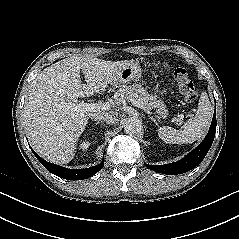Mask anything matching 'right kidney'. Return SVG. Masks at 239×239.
<instances>
[{
  "label": "right kidney",
  "instance_id": "right-kidney-1",
  "mask_svg": "<svg viewBox=\"0 0 239 239\" xmlns=\"http://www.w3.org/2000/svg\"><path fill=\"white\" fill-rule=\"evenodd\" d=\"M89 146H90V143L88 141H84L80 144V149L85 150L89 148Z\"/></svg>",
  "mask_w": 239,
  "mask_h": 239
}]
</instances>
